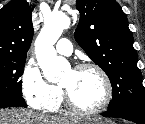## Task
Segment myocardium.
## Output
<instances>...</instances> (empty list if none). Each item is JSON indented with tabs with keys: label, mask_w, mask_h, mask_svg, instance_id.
<instances>
[{
	"label": "myocardium",
	"mask_w": 145,
	"mask_h": 124,
	"mask_svg": "<svg viewBox=\"0 0 145 124\" xmlns=\"http://www.w3.org/2000/svg\"><path fill=\"white\" fill-rule=\"evenodd\" d=\"M89 69L96 71L100 75L104 83V87H105L104 98L102 102L95 108L85 109V108L79 107L72 99L69 91L64 86L59 84L61 94H62V97L66 106L68 107L70 111L78 115L90 116V115H96V114L101 113L102 111H104L106 107H108L113 97V86H112L111 79L106 73V71L98 64L91 63V62L80 63L76 65L72 70L84 71V70H89Z\"/></svg>",
	"instance_id": "f54148a6"
}]
</instances>
